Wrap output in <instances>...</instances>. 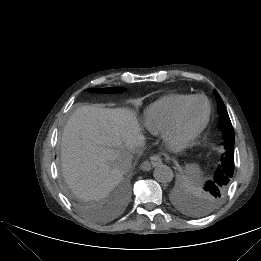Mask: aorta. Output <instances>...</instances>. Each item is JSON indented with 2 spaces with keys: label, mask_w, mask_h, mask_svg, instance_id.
<instances>
[{
  "label": "aorta",
  "mask_w": 261,
  "mask_h": 261,
  "mask_svg": "<svg viewBox=\"0 0 261 261\" xmlns=\"http://www.w3.org/2000/svg\"><path fill=\"white\" fill-rule=\"evenodd\" d=\"M154 178L160 183H169L173 180V171L167 165H158L154 169L153 173Z\"/></svg>",
  "instance_id": "obj_1"
}]
</instances>
